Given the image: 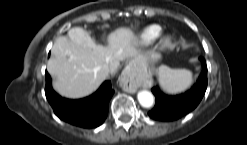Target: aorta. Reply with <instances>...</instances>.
<instances>
[{
  "mask_svg": "<svg viewBox=\"0 0 247 145\" xmlns=\"http://www.w3.org/2000/svg\"><path fill=\"white\" fill-rule=\"evenodd\" d=\"M137 98L140 105L144 108H150L154 104V96L151 92L147 90H142L138 92Z\"/></svg>",
  "mask_w": 247,
  "mask_h": 145,
  "instance_id": "obj_1",
  "label": "aorta"
}]
</instances>
